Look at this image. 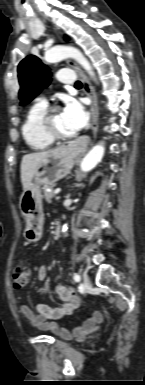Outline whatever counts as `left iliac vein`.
Returning a JSON list of instances; mask_svg holds the SVG:
<instances>
[{"label": "left iliac vein", "mask_w": 145, "mask_h": 385, "mask_svg": "<svg viewBox=\"0 0 145 385\" xmlns=\"http://www.w3.org/2000/svg\"><path fill=\"white\" fill-rule=\"evenodd\" d=\"M82 283L85 289H88L91 287L90 279L86 273H84L82 276Z\"/></svg>", "instance_id": "4c4485c4"}]
</instances>
